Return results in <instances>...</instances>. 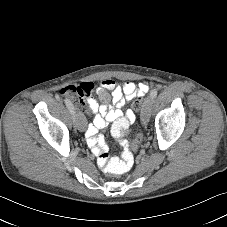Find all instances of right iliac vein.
Masks as SVG:
<instances>
[{
    "label": "right iliac vein",
    "mask_w": 227,
    "mask_h": 227,
    "mask_svg": "<svg viewBox=\"0 0 227 227\" xmlns=\"http://www.w3.org/2000/svg\"><path fill=\"white\" fill-rule=\"evenodd\" d=\"M75 127H77V129L79 131H84L85 130V123L83 121L82 115L80 113H76L75 114Z\"/></svg>",
    "instance_id": "63e3f726"
}]
</instances>
